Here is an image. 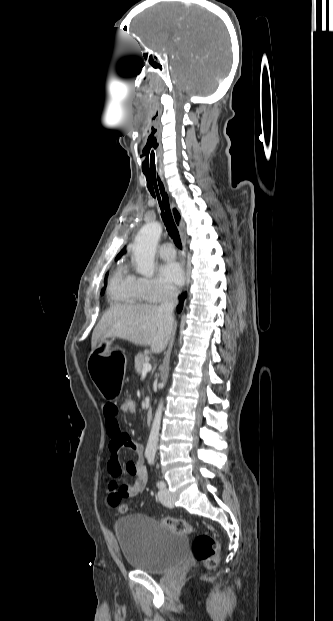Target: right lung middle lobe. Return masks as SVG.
Returning <instances> with one entry per match:
<instances>
[{
    "instance_id": "1",
    "label": "right lung middle lobe",
    "mask_w": 333,
    "mask_h": 621,
    "mask_svg": "<svg viewBox=\"0 0 333 621\" xmlns=\"http://www.w3.org/2000/svg\"><path fill=\"white\" fill-rule=\"evenodd\" d=\"M104 283H105V286H104V288H103V289H102V291H101V295H103V294H104V291H105V287H106V278H105V282H104Z\"/></svg>"
}]
</instances>
